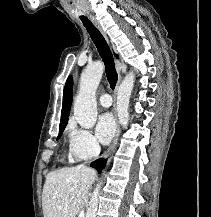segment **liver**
<instances>
[{
    "label": "liver",
    "instance_id": "liver-1",
    "mask_svg": "<svg viewBox=\"0 0 211 217\" xmlns=\"http://www.w3.org/2000/svg\"><path fill=\"white\" fill-rule=\"evenodd\" d=\"M95 178V170L86 166L50 172L42 193L44 217H76Z\"/></svg>",
    "mask_w": 211,
    "mask_h": 217
}]
</instances>
